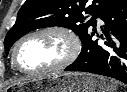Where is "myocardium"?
I'll use <instances>...</instances> for the list:
<instances>
[{
	"label": "myocardium",
	"mask_w": 127,
	"mask_h": 92,
	"mask_svg": "<svg viewBox=\"0 0 127 92\" xmlns=\"http://www.w3.org/2000/svg\"><path fill=\"white\" fill-rule=\"evenodd\" d=\"M45 33H57V34L64 36L69 43V51L67 55L58 64L51 66V67L36 69V70L24 69L20 65L19 59H18V53H19V49L21 45L29 38L33 36L45 34ZM79 53H80V41L77 35L71 29L65 26L49 25V26H44V27L35 29L33 31H30L18 40V42L16 43L13 49L12 63L17 70L25 74L50 73V72H56V71L63 70L69 65H71L76 60Z\"/></svg>",
	"instance_id": "myocardium-1"
}]
</instances>
